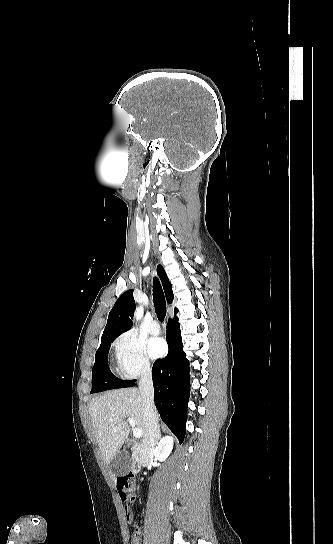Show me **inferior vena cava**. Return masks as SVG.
<instances>
[{
	"label": "inferior vena cava",
	"mask_w": 333,
	"mask_h": 544,
	"mask_svg": "<svg viewBox=\"0 0 333 544\" xmlns=\"http://www.w3.org/2000/svg\"><path fill=\"white\" fill-rule=\"evenodd\" d=\"M139 392L143 402L145 422V435L141 444V463L146 466L154 454L158 430V415L154 404V389L150 369H144L141 374Z\"/></svg>",
	"instance_id": "inferior-vena-cava-1"
}]
</instances>
